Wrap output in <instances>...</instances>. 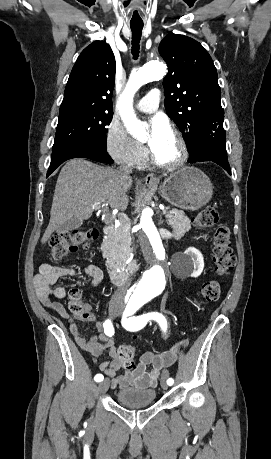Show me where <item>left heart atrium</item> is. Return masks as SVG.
I'll return each instance as SVG.
<instances>
[{"instance_id": "obj_1", "label": "left heart atrium", "mask_w": 271, "mask_h": 459, "mask_svg": "<svg viewBox=\"0 0 271 459\" xmlns=\"http://www.w3.org/2000/svg\"><path fill=\"white\" fill-rule=\"evenodd\" d=\"M168 132V124L162 117L157 116L151 119L150 135L153 143Z\"/></svg>"}]
</instances>
